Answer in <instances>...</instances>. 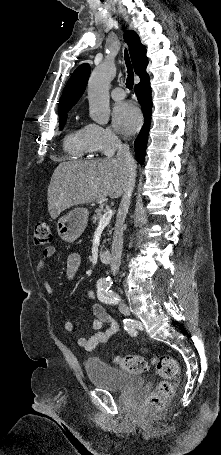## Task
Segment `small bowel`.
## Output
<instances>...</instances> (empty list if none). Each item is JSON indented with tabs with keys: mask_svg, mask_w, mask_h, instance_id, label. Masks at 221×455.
I'll return each mask as SVG.
<instances>
[{
	"mask_svg": "<svg viewBox=\"0 0 221 455\" xmlns=\"http://www.w3.org/2000/svg\"><path fill=\"white\" fill-rule=\"evenodd\" d=\"M56 253L55 247L44 249L36 264V272L39 275H44L48 266L49 259ZM81 264V258L78 254L69 255L66 262V274L72 278L78 271ZM44 286L49 293H53V288L47 279L43 280ZM87 298L90 301L95 299L94 291L87 292ZM94 321L92 322V334L88 337L81 336L77 339V344L86 351H93L98 345L107 343L119 329L118 323L101 305L93 304ZM106 325L105 330H101L102 326ZM78 326V321H68L64 324L66 332H73Z\"/></svg>",
	"mask_w": 221,
	"mask_h": 455,
	"instance_id": "obj_1",
	"label": "small bowel"
}]
</instances>
